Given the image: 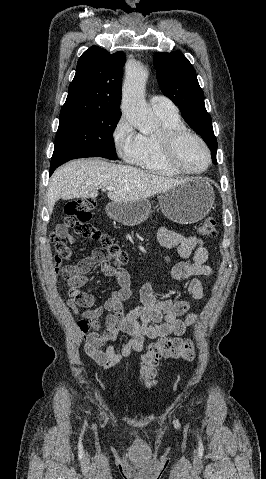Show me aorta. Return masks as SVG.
<instances>
[{
  "label": "aorta",
  "instance_id": "obj_1",
  "mask_svg": "<svg viewBox=\"0 0 266 479\" xmlns=\"http://www.w3.org/2000/svg\"><path fill=\"white\" fill-rule=\"evenodd\" d=\"M146 79V69L139 62H131L126 69L122 90V113L142 133L153 132L159 127V120L148 108L144 97Z\"/></svg>",
  "mask_w": 266,
  "mask_h": 479
}]
</instances>
